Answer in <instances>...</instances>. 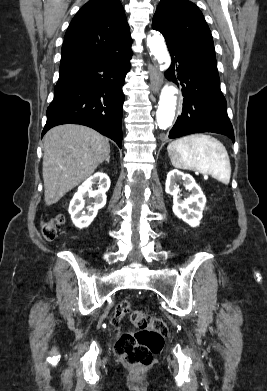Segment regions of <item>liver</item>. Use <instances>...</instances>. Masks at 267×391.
Returning a JSON list of instances; mask_svg holds the SVG:
<instances>
[{
  "label": "liver",
  "mask_w": 267,
  "mask_h": 391,
  "mask_svg": "<svg viewBox=\"0 0 267 391\" xmlns=\"http://www.w3.org/2000/svg\"><path fill=\"white\" fill-rule=\"evenodd\" d=\"M43 180L45 204L57 203L109 158L108 139L91 128L66 124L44 136Z\"/></svg>",
  "instance_id": "obj_1"
}]
</instances>
